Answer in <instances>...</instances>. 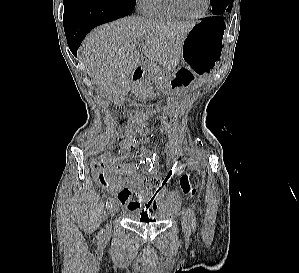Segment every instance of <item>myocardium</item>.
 <instances>
[{
    "instance_id": "myocardium-1",
    "label": "myocardium",
    "mask_w": 299,
    "mask_h": 273,
    "mask_svg": "<svg viewBox=\"0 0 299 273\" xmlns=\"http://www.w3.org/2000/svg\"><path fill=\"white\" fill-rule=\"evenodd\" d=\"M173 8L183 17L188 18V19H200L202 18L206 12L208 11L210 0H205V5L201 13L197 15H190L184 11V9L181 7L180 1L179 0H170Z\"/></svg>"
}]
</instances>
